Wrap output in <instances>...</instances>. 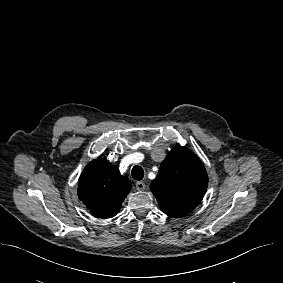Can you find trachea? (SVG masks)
I'll list each match as a JSON object with an SVG mask.
<instances>
[{"label": "trachea", "mask_w": 283, "mask_h": 283, "mask_svg": "<svg viewBox=\"0 0 283 283\" xmlns=\"http://www.w3.org/2000/svg\"><path fill=\"white\" fill-rule=\"evenodd\" d=\"M131 174H132L133 179H134V180H138V181H139V180H142L143 177H144V171H143V169H142L140 166H138V165H136V166H134V167L132 168Z\"/></svg>", "instance_id": "trachea-1"}]
</instances>
